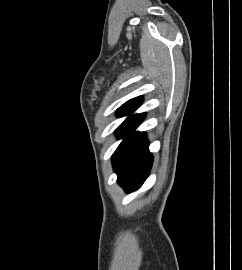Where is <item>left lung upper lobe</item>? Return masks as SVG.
<instances>
[{"label":"left lung upper lobe","mask_w":242,"mask_h":270,"mask_svg":"<svg viewBox=\"0 0 242 270\" xmlns=\"http://www.w3.org/2000/svg\"><path fill=\"white\" fill-rule=\"evenodd\" d=\"M142 102V96L130 99L126 103H124L118 110V116H124L133 111L136 107L140 105Z\"/></svg>","instance_id":"left-lung-upper-lobe-1"}]
</instances>
